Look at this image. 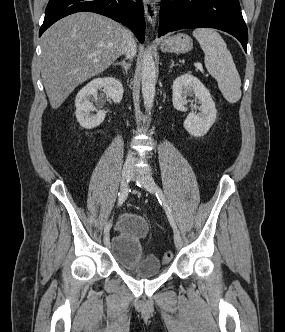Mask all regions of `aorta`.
Listing matches in <instances>:
<instances>
[{
	"label": "aorta",
	"instance_id": "1",
	"mask_svg": "<svg viewBox=\"0 0 285 332\" xmlns=\"http://www.w3.org/2000/svg\"><path fill=\"white\" fill-rule=\"evenodd\" d=\"M142 95L146 110L150 111L153 106L156 84V68L153 55L147 49L142 62Z\"/></svg>",
	"mask_w": 285,
	"mask_h": 332
}]
</instances>
